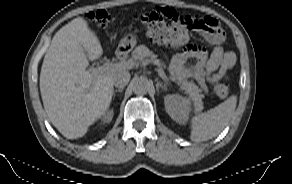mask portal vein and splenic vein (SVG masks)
<instances>
[{
  "mask_svg": "<svg viewBox=\"0 0 292 184\" xmlns=\"http://www.w3.org/2000/svg\"><path fill=\"white\" fill-rule=\"evenodd\" d=\"M156 65H158V67H159L157 70L159 76L161 78H165L166 75H165L163 69L160 67V64L156 63ZM133 66H134V62L132 60L120 61L118 63L106 62L102 66L98 67L97 69H93V71L103 73V72H107V71H114L116 69L132 68Z\"/></svg>",
  "mask_w": 292,
  "mask_h": 184,
  "instance_id": "18ae733b",
  "label": "portal vein and splenic vein"
}]
</instances>
